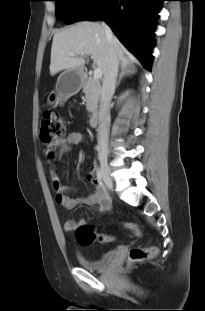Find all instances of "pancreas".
Returning a JSON list of instances; mask_svg holds the SVG:
<instances>
[{"instance_id": "obj_1", "label": "pancreas", "mask_w": 205, "mask_h": 311, "mask_svg": "<svg viewBox=\"0 0 205 311\" xmlns=\"http://www.w3.org/2000/svg\"><path fill=\"white\" fill-rule=\"evenodd\" d=\"M100 83L89 77L84 81L83 93L86 99V109L89 113H96L100 98Z\"/></svg>"}]
</instances>
